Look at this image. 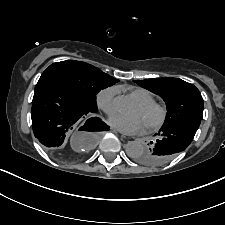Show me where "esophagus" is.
<instances>
[{
    "mask_svg": "<svg viewBox=\"0 0 225 225\" xmlns=\"http://www.w3.org/2000/svg\"><path fill=\"white\" fill-rule=\"evenodd\" d=\"M112 131H113L114 133L120 134L121 137H125V135H123L121 132H119V131L116 130V129H112Z\"/></svg>",
    "mask_w": 225,
    "mask_h": 225,
    "instance_id": "34e87169",
    "label": "esophagus"
}]
</instances>
